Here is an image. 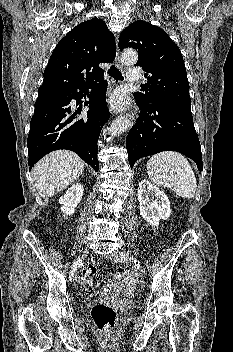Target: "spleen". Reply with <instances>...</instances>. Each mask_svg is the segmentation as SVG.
Masks as SVG:
<instances>
[{
  "instance_id": "spleen-1",
  "label": "spleen",
  "mask_w": 233,
  "mask_h": 352,
  "mask_svg": "<svg viewBox=\"0 0 233 352\" xmlns=\"http://www.w3.org/2000/svg\"><path fill=\"white\" fill-rule=\"evenodd\" d=\"M147 173L152 182L168 187L184 199L194 197L197 181L188 160L180 153L165 151L147 162Z\"/></svg>"
}]
</instances>
